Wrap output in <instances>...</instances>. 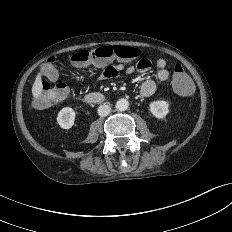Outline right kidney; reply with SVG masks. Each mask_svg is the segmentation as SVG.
Here are the masks:
<instances>
[{
	"label": "right kidney",
	"mask_w": 232,
	"mask_h": 232,
	"mask_svg": "<svg viewBox=\"0 0 232 232\" xmlns=\"http://www.w3.org/2000/svg\"><path fill=\"white\" fill-rule=\"evenodd\" d=\"M75 112L70 107L62 108L57 116V123L63 129H69L74 125Z\"/></svg>",
	"instance_id": "right-kidney-1"
}]
</instances>
